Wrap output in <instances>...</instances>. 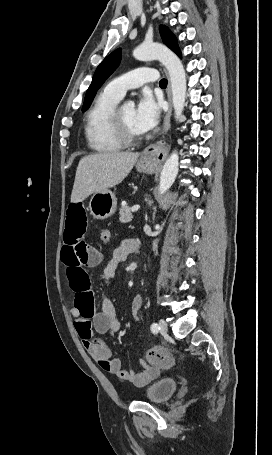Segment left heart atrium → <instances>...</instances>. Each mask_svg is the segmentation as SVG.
I'll list each match as a JSON object with an SVG mask.
<instances>
[{
  "mask_svg": "<svg viewBox=\"0 0 272 455\" xmlns=\"http://www.w3.org/2000/svg\"><path fill=\"white\" fill-rule=\"evenodd\" d=\"M160 104L149 93H145L135 108V128L140 134L152 130L159 122Z\"/></svg>",
  "mask_w": 272,
  "mask_h": 455,
  "instance_id": "39dd6f15",
  "label": "left heart atrium"
}]
</instances>
